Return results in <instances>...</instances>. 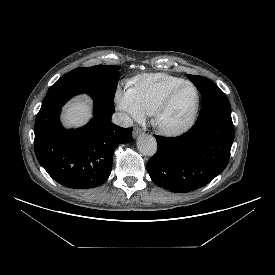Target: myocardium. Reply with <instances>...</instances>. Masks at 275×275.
<instances>
[{"instance_id": "myocardium-1", "label": "myocardium", "mask_w": 275, "mask_h": 275, "mask_svg": "<svg viewBox=\"0 0 275 275\" xmlns=\"http://www.w3.org/2000/svg\"><path fill=\"white\" fill-rule=\"evenodd\" d=\"M184 86H190L194 92H195V104L193 107V110L189 116V118L182 123L179 126L176 127H165L161 124L160 119L162 114L165 112V110L168 108L170 105L174 95L179 91L182 87ZM200 105H201V98H200V92L198 88L190 81H184L174 87H172L165 95L164 97L160 100V102L156 105L154 110L151 113V122L153 126L162 134L167 135V136H176L180 135L187 130H189L195 123L199 110H200Z\"/></svg>"}]
</instances>
